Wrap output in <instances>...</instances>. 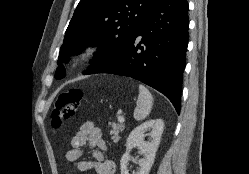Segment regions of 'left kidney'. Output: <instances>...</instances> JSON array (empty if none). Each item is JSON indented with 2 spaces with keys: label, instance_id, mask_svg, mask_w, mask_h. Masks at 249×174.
Instances as JSON below:
<instances>
[{
  "label": "left kidney",
  "instance_id": "obj_1",
  "mask_svg": "<svg viewBox=\"0 0 249 174\" xmlns=\"http://www.w3.org/2000/svg\"><path fill=\"white\" fill-rule=\"evenodd\" d=\"M164 122L161 119L146 121L137 126L129 135L126 141V152L123 154L120 161L121 174H129L127 164L130 161L129 152L135 146L140 149L141 154H144L143 159L138 160L140 168L133 174H149L154 163L157 148L160 143L163 133ZM150 131L151 141L146 142L145 132Z\"/></svg>",
  "mask_w": 249,
  "mask_h": 174
}]
</instances>
